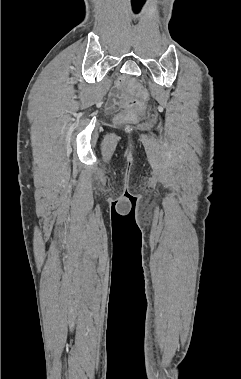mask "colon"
<instances>
[{
    "label": "colon",
    "instance_id": "colon-1",
    "mask_svg": "<svg viewBox=\"0 0 241 379\" xmlns=\"http://www.w3.org/2000/svg\"><path fill=\"white\" fill-rule=\"evenodd\" d=\"M123 83L122 80H120V85ZM142 96L145 97V93L142 92ZM146 98H137L131 99L124 95L121 96V103L124 107L127 108L125 112H123L118 117V122H134L136 121L139 116L143 113L144 108L146 105ZM151 107V106H150Z\"/></svg>",
    "mask_w": 241,
    "mask_h": 379
}]
</instances>
